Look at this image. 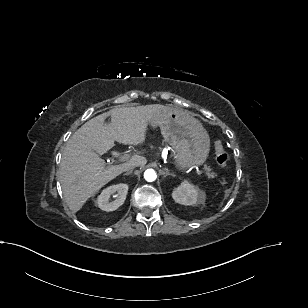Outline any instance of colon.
<instances>
[{
  "label": "colon",
  "instance_id": "colon-1",
  "mask_svg": "<svg viewBox=\"0 0 308 308\" xmlns=\"http://www.w3.org/2000/svg\"><path fill=\"white\" fill-rule=\"evenodd\" d=\"M215 160L217 164L221 167L226 166L228 161V154L221 141L217 140L215 142Z\"/></svg>",
  "mask_w": 308,
  "mask_h": 308
}]
</instances>
